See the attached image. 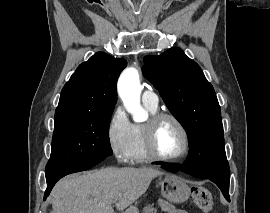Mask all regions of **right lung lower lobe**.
I'll return each mask as SVG.
<instances>
[{
  "instance_id": "98d812e1",
  "label": "right lung lower lobe",
  "mask_w": 270,
  "mask_h": 213,
  "mask_svg": "<svg viewBox=\"0 0 270 213\" xmlns=\"http://www.w3.org/2000/svg\"><path fill=\"white\" fill-rule=\"evenodd\" d=\"M103 160L104 159L94 160V161L84 163V164L69 166L61 170L46 171L47 189L45 191L44 200L47 198L53 186L60 178L71 173L88 170Z\"/></svg>"
}]
</instances>
